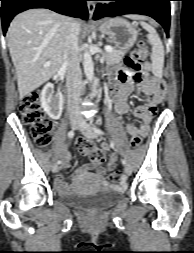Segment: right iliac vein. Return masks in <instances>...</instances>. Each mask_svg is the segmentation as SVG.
<instances>
[{"label": "right iliac vein", "instance_id": "63e3f726", "mask_svg": "<svg viewBox=\"0 0 194 253\" xmlns=\"http://www.w3.org/2000/svg\"><path fill=\"white\" fill-rule=\"evenodd\" d=\"M71 128L73 130H76L80 126V121L78 119H72L70 121ZM59 167L57 164L52 165V172L56 173L58 171Z\"/></svg>", "mask_w": 194, "mask_h": 253}]
</instances>
